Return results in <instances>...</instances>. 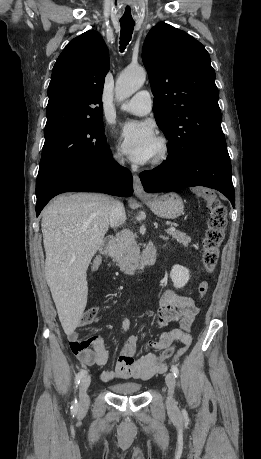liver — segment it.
Segmentation results:
<instances>
[{"label": "liver", "mask_w": 261, "mask_h": 459, "mask_svg": "<svg viewBox=\"0 0 261 459\" xmlns=\"http://www.w3.org/2000/svg\"><path fill=\"white\" fill-rule=\"evenodd\" d=\"M113 202L104 194H68L43 212L45 278L67 335L78 327L86 307V272L109 229Z\"/></svg>", "instance_id": "liver-1"}]
</instances>
